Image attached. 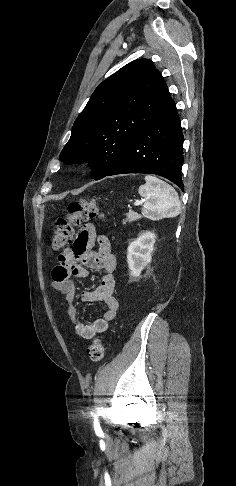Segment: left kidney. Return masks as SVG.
<instances>
[{"label":"left kidney","mask_w":236,"mask_h":486,"mask_svg":"<svg viewBox=\"0 0 236 486\" xmlns=\"http://www.w3.org/2000/svg\"><path fill=\"white\" fill-rule=\"evenodd\" d=\"M155 241V233L146 231L129 244L127 262L133 277H139L142 270L151 262Z\"/></svg>","instance_id":"1"}]
</instances>
